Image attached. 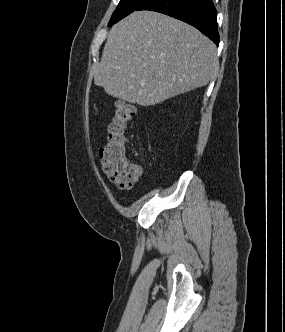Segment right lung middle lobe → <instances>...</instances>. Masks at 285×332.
<instances>
[{"label":"right lung middle lobe","instance_id":"obj_1","mask_svg":"<svg viewBox=\"0 0 285 332\" xmlns=\"http://www.w3.org/2000/svg\"><path fill=\"white\" fill-rule=\"evenodd\" d=\"M147 0H120L118 7L114 11L108 26H112L131 12L135 11Z\"/></svg>","mask_w":285,"mask_h":332}]
</instances>
